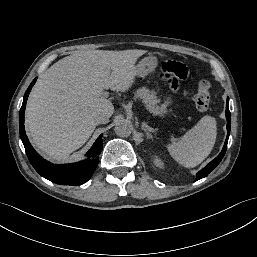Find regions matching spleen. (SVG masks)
<instances>
[{"mask_svg": "<svg viewBox=\"0 0 257 257\" xmlns=\"http://www.w3.org/2000/svg\"><path fill=\"white\" fill-rule=\"evenodd\" d=\"M217 136L215 118L204 116L178 142L167 145L170 155L187 168L198 166L211 153Z\"/></svg>", "mask_w": 257, "mask_h": 257, "instance_id": "3e777b00", "label": "spleen"}]
</instances>
